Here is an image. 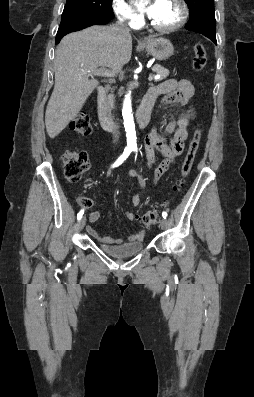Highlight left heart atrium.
I'll list each match as a JSON object with an SVG mask.
<instances>
[{
  "mask_svg": "<svg viewBox=\"0 0 254 397\" xmlns=\"http://www.w3.org/2000/svg\"><path fill=\"white\" fill-rule=\"evenodd\" d=\"M157 1H158V0H155L154 2H152L151 4H149V5L145 8L146 12H147L149 15H151V14L153 13V11H154V9H155V7H156ZM138 4L141 5V2H138Z\"/></svg>",
  "mask_w": 254,
  "mask_h": 397,
  "instance_id": "obj_1",
  "label": "left heart atrium"
}]
</instances>
